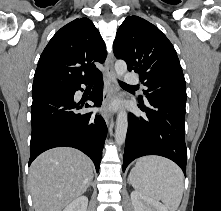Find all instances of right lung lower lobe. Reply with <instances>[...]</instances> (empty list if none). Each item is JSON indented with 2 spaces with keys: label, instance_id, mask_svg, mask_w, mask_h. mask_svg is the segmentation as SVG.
<instances>
[{
  "label": "right lung lower lobe",
  "instance_id": "right-lung-lower-lobe-1",
  "mask_svg": "<svg viewBox=\"0 0 221 211\" xmlns=\"http://www.w3.org/2000/svg\"><path fill=\"white\" fill-rule=\"evenodd\" d=\"M95 86L89 96L96 106L102 103V75L93 77ZM91 80V79H90ZM84 81L63 86L54 91L33 98L31 108V154L29 165L42 152L60 146L73 147L88 155L95 164L96 171L102 157V149L107 135V126L101 116L92 113L81 114L77 111L84 104L75 103L74 94L82 90ZM85 107H91L85 104Z\"/></svg>",
  "mask_w": 221,
  "mask_h": 211
}]
</instances>
